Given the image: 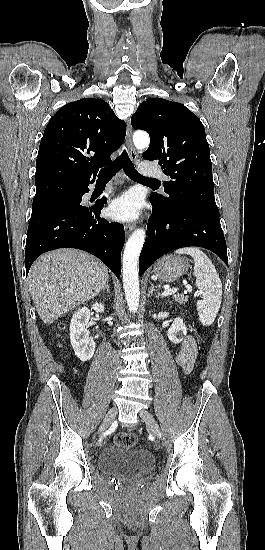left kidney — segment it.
I'll use <instances>...</instances> for the list:
<instances>
[{
    "instance_id": "obj_1",
    "label": "left kidney",
    "mask_w": 265,
    "mask_h": 550,
    "mask_svg": "<svg viewBox=\"0 0 265 550\" xmlns=\"http://www.w3.org/2000/svg\"><path fill=\"white\" fill-rule=\"evenodd\" d=\"M187 333V328L185 326V323L183 322V319L180 317H177L174 319L171 327L168 329L167 335L169 340L174 343L178 344L182 341V338Z\"/></svg>"
}]
</instances>
